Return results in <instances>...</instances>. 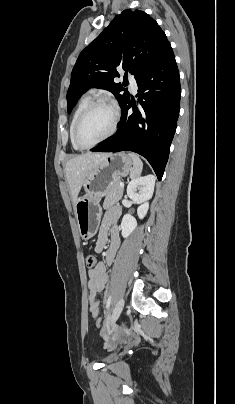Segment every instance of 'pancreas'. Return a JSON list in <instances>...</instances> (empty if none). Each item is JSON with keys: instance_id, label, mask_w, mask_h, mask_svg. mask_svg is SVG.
Segmentation results:
<instances>
[{"instance_id": "pancreas-1", "label": "pancreas", "mask_w": 235, "mask_h": 404, "mask_svg": "<svg viewBox=\"0 0 235 404\" xmlns=\"http://www.w3.org/2000/svg\"><path fill=\"white\" fill-rule=\"evenodd\" d=\"M120 182V180H114L106 188L104 207L116 203L122 198L123 188L120 187Z\"/></svg>"}]
</instances>
